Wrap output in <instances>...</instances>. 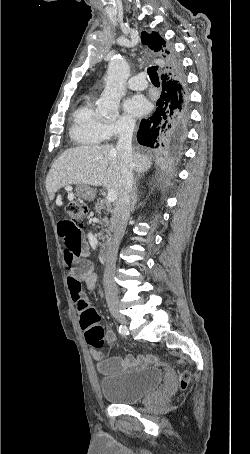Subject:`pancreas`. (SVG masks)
Returning <instances> with one entry per match:
<instances>
[{
    "label": "pancreas",
    "instance_id": "cf45deb5",
    "mask_svg": "<svg viewBox=\"0 0 250 454\" xmlns=\"http://www.w3.org/2000/svg\"><path fill=\"white\" fill-rule=\"evenodd\" d=\"M94 209L99 214L103 212L104 214L108 215L111 212V205L106 200H98L95 204ZM101 225L104 227V229L101 233H99L98 236L102 239H106V241L109 242L111 240L112 219H109L107 216H105L101 221Z\"/></svg>",
    "mask_w": 250,
    "mask_h": 454
}]
</instances>
